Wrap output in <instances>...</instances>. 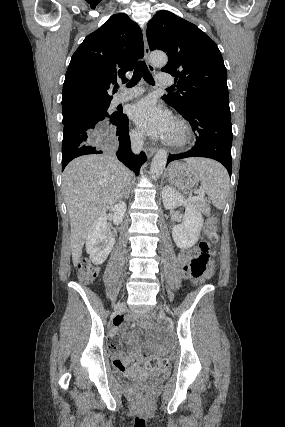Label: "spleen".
Instances as JSON below:
<instances>
[{
	"instance_id": "3e777b00",
	"label": "spleen",
	"mask_w": 285,
	"mask_h": 427,
	"mask_svg": "<svg viewBox=\"0 0 285 427\" xmlns=\"http://www.w3.org/2000/svg\"><path fill=\"white\" fill-rule=\"evenodd\" d=\"M187 163L196 170L202 188L210 196L212 204L218 209H223L230 188L226 169L221 164L206 159L199 161L189 159Z\"/></svg>"
}]
</instances>
